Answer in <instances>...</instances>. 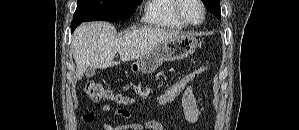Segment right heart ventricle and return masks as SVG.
<instances>
[{
    "mask_svg": "<svg viewBox=\"0 0 299 130\" xmlns=\"http://www.w3.org/2000/svg\"><path fill=\"white\" fill-rule=\"evenodd\" d=\"M145 22L154 27L183 29L185 25L175 14V0H150L147 2Z\"/></svg>",
    "mask_w": 299,
    "mask_h": 130,
    "instance_id": "obj_1",
    "label": "right heart ventricle"
}]
</instances>
